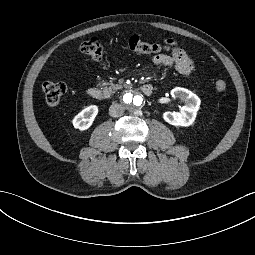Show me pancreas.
<instances>
[{
  "instance_id": "pancreas-1",
  "label": "pancreas",
  "mask_w": 255,
  "mask_h": 255,
  "mask_svg": "<svg viewBox=\"0 0 255 255\" xmlns=\"http://www.w3.org/2000/svg\"><path fill=\"white\" fill-rule=\"evenodd\" d=\"M101 86H103V94L105 96H109L112 93H114L115 90L122 89L123 86L119 84H113V83H102ZM109 86V87H108Z\"/></svg>"
}]
</instances>
